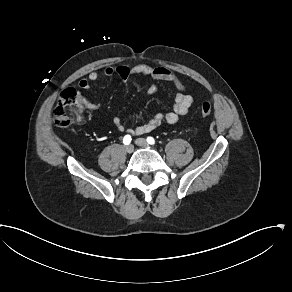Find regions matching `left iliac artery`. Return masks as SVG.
<instances>
[{
    "instance_id": "1",
    "label": "left iliac artery",
    "mask_w": 292,
    "mask_h": 292,
    "mask_svg": "<svg viewBox=\"0 0 292 292\" xmlns=\"http://www.w3.org/2000/svg\"><path fill=\"white\" fill-rule=\"evenodd\" d=\"M147 142H148L149 144H155V140H154V138L151 137V136L147 137Z\"/></svg>"
}]
</instances>
